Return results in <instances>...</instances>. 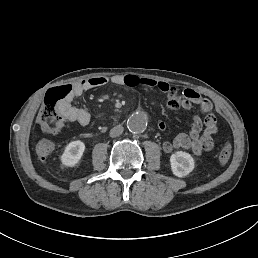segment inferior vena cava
I'll return each instance as SVG.
<instances>
[{"label": "inferior vena cava", "instance_id": "602c4592", "mask_svg": "<svg viewBox=\"0 0 258 258\" xmlns=\"http://www.w3.org/2000/svg\"><path fill=\"white\" fill-rule=\"evenodd\" d=\"M123 131H124L123 126L118 125L110 130V137L112 138L117 137L121 135Z\"/></svg>", "mask_w": 258, "mask_h": 258}]
</instances>
